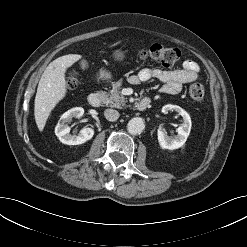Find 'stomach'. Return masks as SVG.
<instances>
[{
    "mask_svg": "<svg viewBox=\"0 0 247 247\" xmlns=\"http://www.w3.org/2000/svg\"><path fill=\"white\" fill-rule=\"evenodd\" d=\"M113 56L114 58H116L117 60H121L124 58L125 56V51L122 50H116L113 52ZM101 76L104 78H110V74L108 72L102 71L101 72Z\"/></svg>",
    "mask_w": 247,
    "mask_h": 247,
    "instance_id": "obj_1",
    "label": "stomach"
}]
</instances>
